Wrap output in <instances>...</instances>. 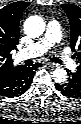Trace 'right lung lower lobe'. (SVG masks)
Here are the masks:
<instances>
[{
  "label": "right lung lower lobe",
  "mask_w": 81,
  "mask_h": 124,
  "mask_svg": "<svg viewBox=\"0 0 81 124\" xmlns=\"http://www.w3.org/2000/svg\"><path fill=\"white\" fill-rule=\"evenodd\" d=\"M41 63L33 66L19 65L7 75L0 78V96L18 97L24 94L31 86L33 77Z\"/></svg>",
  "instance_id": "98d812e1"
}]
</instances>
